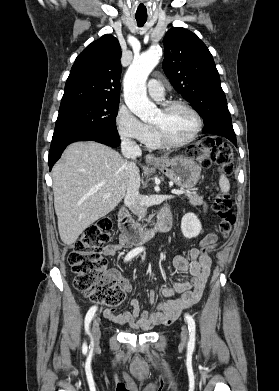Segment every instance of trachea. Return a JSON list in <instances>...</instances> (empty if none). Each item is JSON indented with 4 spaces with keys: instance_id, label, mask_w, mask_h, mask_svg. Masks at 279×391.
<instances>
[{
    "instance_id": "obj_1",
    "label": "trachea",
    "mask_w": 279,
    "mask_h": 391,
    "mask_svg": "<svg viewBox=\"0 0 279 391\" xmlns=\"http://www.w3.org/2000/svg\"><path fill=\"white\" fill-rule=\"evenodd\" d=\"M136 21L138 23V26L141 27L145 24V22L147 21V18H136Z\"/></svg>"
}]
</instances>
